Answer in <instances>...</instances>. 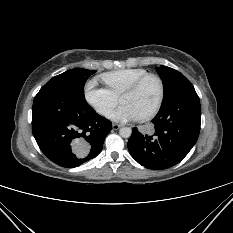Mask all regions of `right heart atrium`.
Listing matches in <instances>:
<instances>
[{
  "mask_svg": "<svg viewBox=\"0 0 233 233\" xmlns=\"http://www.w3.org/2000/svg\"><path fill=\"white\" fill-rule=\"evenodd\" d=\"M86 102L101 116L107 117L118 102V97L108 88L98 86L96 80H89L84 87Z\"/></svg>",
  "mask_w": 233,
  "mask_h": 233,
  "instance_id": "1",
  "label": "right heart atrium"
}]
</instances>
